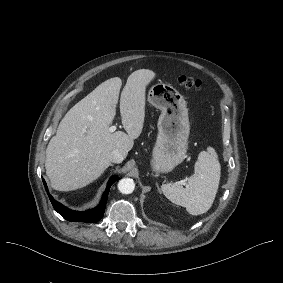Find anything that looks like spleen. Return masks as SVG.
Here are the masks:
<instances>
[{
  "label": "spleen",
  "instance_id": "3e777b00",
  "mask_svg": "<svg viewBox=\"0 0 283 283\" xmlns=\"http://www.w3.org/2000/svg\"><path fill=\"white\" fill-rule=\"evenodd\" d=\"M214 148L208 147L198 155L195 173L188 178V186L163 184V194L172 203L185 207L189 214L206 213L212 206L220 181V163Z\"/></svg>",
  "mask_w": 283,
  "mask_h": 283
}]
</instances>
